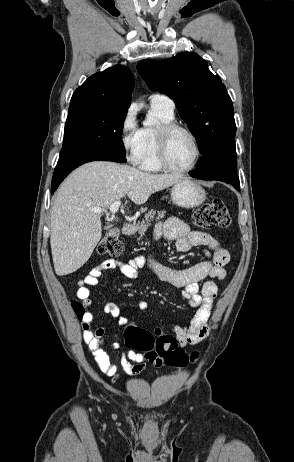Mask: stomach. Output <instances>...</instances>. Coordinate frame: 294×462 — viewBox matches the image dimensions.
<instances>
[{"label": "stomach", "mask_w": 294, "mask_h": 462, "mask_svg": "<svg viewBox=\"0 0 294 462\" xmlns=\"http://www.w3.org/2000/svg\"><path fill=\"white\" fill-rule=\"evenodd\" d=\"M170 194L172 202L183 208H195L206 199L205 190L187 177L173 184Z\"/></svg>", "instance_id": "0dacf381"}]
</instances>
